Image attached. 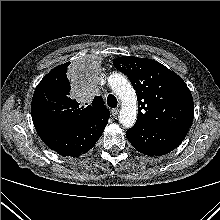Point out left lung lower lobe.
<instances>
[{"instance_id":"left-lung-lower-lobe-1","label":"left lung lower lobe","mask_w":220,"mask_h":220,"mask_svg":"<svg viewBox=\"0 0 220 220\" xmlns=\"http://www.w3.org/2000/svg\"><path fill=\"white\" fill-rule=\"evenodd\" d=\"M188 133V128H153L135 124L126 131V137L139 152L149 156L165 155L177 148Z\"/></svg>"}]
</instances>
